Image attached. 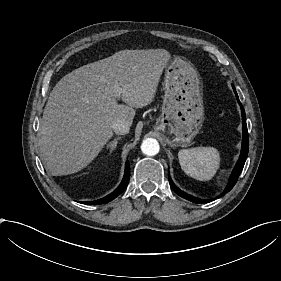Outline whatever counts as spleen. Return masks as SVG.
<instances>
[{
	"instance_id": "3e777b00",
	"label": "spleen",
	"mask_w": 281,
	"mask_h": 281,
	"mask_svg": "<svg viewBox=\"0 0 281 281\" xmlns=\"http://www.w3.org/2000/svg\"><path fill=\"white\" fill-rule=\"evenodd\" d=\"M182 171L199 181L212 180L221 166V154L215 147H197L178 152Z\"/></svg>"
}]
</instances>
